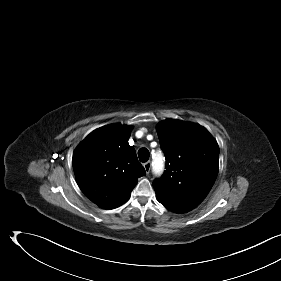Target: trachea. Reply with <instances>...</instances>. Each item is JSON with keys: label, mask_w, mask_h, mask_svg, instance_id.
<instances>
[{"label": "trachea", "mask_w": 281, "mask_h": 281, "mask_svg": "<svg viewBox=\"0 0 281 281\" xmlns=\"http://www.w3.org/2000/svg\"><path fill=\"white\" fill-rule=\"evenodd\" d=\"M149 151L147 148H140L138 151V157L141 162H146L149 159Z\"/></svg>", "instance_id": "1"}]
</instances>
